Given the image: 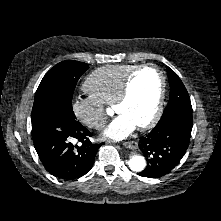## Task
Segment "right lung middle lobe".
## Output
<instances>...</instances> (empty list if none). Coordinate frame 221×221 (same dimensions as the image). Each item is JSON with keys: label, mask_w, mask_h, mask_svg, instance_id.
I'll list each match as a JSON object with an SVG mask.
<instances>
[{"label": "right lung middle lobe", "mask_w": 221, "mask_h": 221, "mask_svg": "<svg viewBox=\"0 0 221 221\" xmlns=\"http://www.w3.org/2000/svg\"><path fill=\"white\" fill-rule=\"evenodd\" d=\"M83 62L66 60L51 68L40 82L35 94L31 121L51 111L74 115L72 97L81 75L88 69Z\"/></svg>", "instance_id": "obj_1"}]
</instances>
